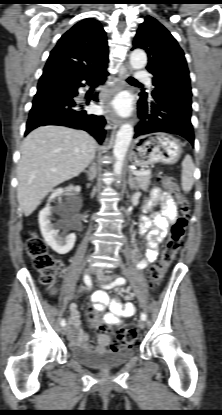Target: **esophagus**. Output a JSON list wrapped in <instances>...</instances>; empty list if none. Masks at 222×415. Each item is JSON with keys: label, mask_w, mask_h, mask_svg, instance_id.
<instances>
[{"label": "esophagus", "mask_w": 222, "mask_h": 415, "mask_svg": "<svg viewBox=\"0 0 222 415\" xmlns=\"http://www.w3.org/2000/svg\"><path fill=\"white\" fill-rule=\"evenodd\" d=\"M130 72H131V68L129 65L125 66L124 69L120 72L119 77H120L122 84L124 82V79L129 75ZM107 121L110 124L117 126V127L120 126L123 122L122 119H120L115 113L110 114L107 117Z\"/></svg>", "instance_id": "esophagus-1"}]
</instances>
